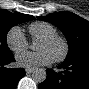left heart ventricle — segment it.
Masks as SVG:
<instances>
[{"label":"left heart ventricle","mask_w":89,"mask_h":89,"mask_svg":"<svg viewBox=\"0 0 89 89\" xmlns=\"http://www.w3.org/2000/svg\"><path fill=\"white\" fill-rule=\"evenodd\" d=\"M36 50H46L52 55L53 58H55L62 52L63 45L58 41L49 43L39 40L36 44Z\"/></svg>","instance_id":"b2bd125f"}]
</instances>
